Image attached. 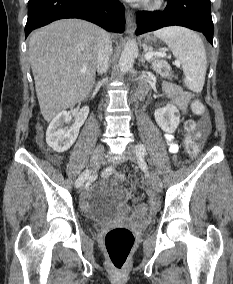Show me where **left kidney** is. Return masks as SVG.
Segmentation results:
<instances>
[{
    "label": "left kidney",
    "instance_id": "5707ae66",
    "mask_svg": "<svg viewBox=\"0 0 233 284\" xmlns=\"http://www.w3.org/2000/svg\"><path fill=\"white\" fill-rule=\"evenodd\" d=\"M178 112L176 106L169 104L164 108L155 110V120L163 131L174 133L180 123V116L177 115Z\"/></svg>",
    "mask_w": 233,
    "mask_h": 284
}]
</instances>
